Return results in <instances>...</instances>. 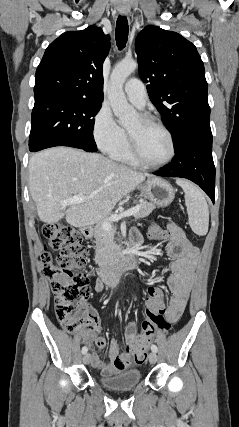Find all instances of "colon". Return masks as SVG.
<instances>
[{
	"mask_svg": "<svg viewBox=\"0 0 239 427\" xmlns=\"http://www.w3.org/2000/svg\"><path fill=\"white\" fill-rule=\"evenodd\" d=\"M42 233L48 246L58 251L55 261L48 252L40 256L44 274L51 281L56 317L69 333L80 328L86 331L92 325V318L85 309L91 291L89 270L86 269L88 250L83 244L82 235L64 223L45 224ZM147 237L150 244L169 243V236L160 222L150 224ZM166 294L162 284L151 282L145 287L146 319L142 323V332L136 344L130 348L137 363L145 361L149 343L160 332L170 328L165 318Z\"/></svg>",
	"mask_w": 239,
	"mask_h": 427,
	"instance_id": "colon-1",
	"label": "colon"
}]
</instances>
